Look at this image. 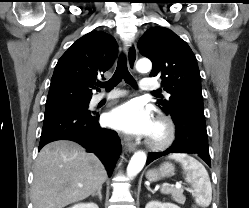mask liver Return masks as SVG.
<instances>
[{
    "label": "liver",
    "mask_w": 249,
    "mask_h": 208,
    "mask_svg": "<svg viewBox=\"0 0 249 208\" xmlns=\"http://www.w3.org/2000/svg\"><path fill=\"white\" fill-rule=\"evenodd\" d=\"M106 179L104 165L81 145L68 140L51 142L35 162L33 207L64 208L98 191Z\"/></svg>",
    "instance_id": "obj_1"
}]
</instances>
